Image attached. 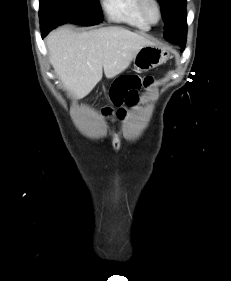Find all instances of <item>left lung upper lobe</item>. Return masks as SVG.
<instances>
[{
	"mask_svg": "<svg viewBox=\"0 0 231 281\" xmlns=\"http://www.w3.org/2000/svg\"><path fill=\"white\" fill-rule=\"evenodd\" d=\"M165 22L164 37L168 39L172 32H187L186 0H158Z\"/></svg>",
	"mask_w": 231,
	"mask_h": 281,
	"instance_id": "1",
	"label": "left lung upper lobe"
}]
</instances>
